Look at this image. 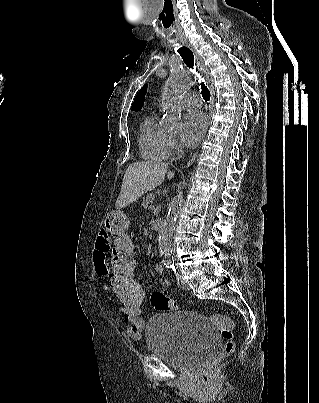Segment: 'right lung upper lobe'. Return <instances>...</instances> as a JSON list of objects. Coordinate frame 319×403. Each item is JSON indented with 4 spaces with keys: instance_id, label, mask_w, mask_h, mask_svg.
Returning a JSON list of instances; mask_svg holds the SVG:
<instances>
[{
    "instance_id": "obj_1",
    "label": "right lung upper lobe",
    "mask_w": 319,
    "mask_h": 403,
    "mask_svg": "<svg viewBox=\"0 0 319 403\" xmlns=\"http://www.w3.org/2000/svg\"><path fill=\"white\" fill-rule=\"evenodd\" d=\"M146 91H147V84H145L136 95L135 101L132 104V111H138L142 108L144 104V97Z\"/></svg>"
}]
</instances>
